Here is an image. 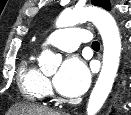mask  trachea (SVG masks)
Segmentation results:
<instances>
[{
	"instance_id": "trachea-1",
	"label": "trachea",
	"mask_w": 131,
	"mask_h": 115,
	"mask_svg": "<svg viewBox=\"0 0 131 115\" xmlns=\"http://www.w3.org/2000/svg\"><path fill=\"white\" fill-rule=\"evenodd\" d=\"M92 48H93V49H99V48H100L99 42H98V41H94V42L92 43Z\"/></svg>"
}]
</instances>
